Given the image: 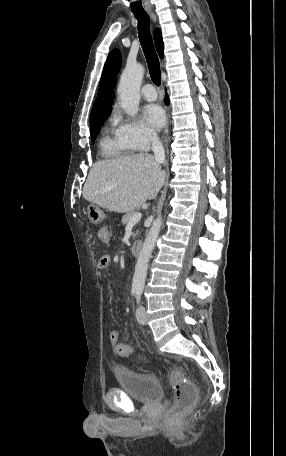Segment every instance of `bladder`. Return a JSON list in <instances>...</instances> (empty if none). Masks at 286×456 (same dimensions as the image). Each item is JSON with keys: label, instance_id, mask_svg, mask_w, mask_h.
<instances>
[{"label": "bladder", "instance_id": "1", "mask_svg": "<svg viewBox=\"0 0 286 456\" xmlns=\"http://www.w3.org/2000/svg\"><path fill=\"white\" fill-rule=\"evenodd\" d=\"M116 383L119 389L142 403L160 401L164 397L163 387L156 377L127 367L119 366L116 369Z\"/></svg>", "mask_w": 286, "mask_h": 456}]
</instances>
